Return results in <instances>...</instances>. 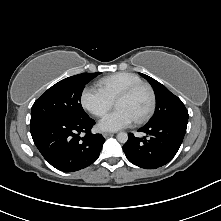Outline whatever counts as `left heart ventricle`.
I'll return each instance as SVG.
<instances>
[{
  "label": "left heart ventricle",
  "instance_id": "b2bd125f",
  "mask_svg": "<svg viewBox=\"0 0 221 221\" xmlns=\"http://www.w3.org/2000/svg\"><path fill=\"white\" fill-rule=\"evenodd\" d=\"M115 106L126 110L134 120H137L146 113L150 106L149 91L141 88L130 97L117 101Z\"/></svg>",
  "mask_w": 221,
  "mask_h": 221
}]
</instances>
